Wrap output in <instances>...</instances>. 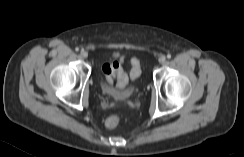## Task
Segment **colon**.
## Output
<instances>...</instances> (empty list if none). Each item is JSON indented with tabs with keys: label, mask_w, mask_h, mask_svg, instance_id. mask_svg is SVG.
<instances>
[{
	"label": "colon",
	"mask_w": 244,
	"mask_h": 157,
	"mask_svg": "<svg viewBox=\"0 0 244 157\" xmlns=\"http://www.w3.org/2000/svg\"><path fill=\"white\" fill-rule=\"evenodd\" d=\"M131 71L130 77L132 79H137L141 74V61L139 58H133L131 61ZM102 72L105 76V79L108 83L112 84L115 80L117 82V87L121 90L126 88L128 84V75L123 70L122 66L116 62L107 63L102 67ZM121 121V117L119 115H111L109 116L105 124L108 128L112 129L119 125Z\"/></svg>",
	"instance_id": "5ec220e1"
}]
</instances>
